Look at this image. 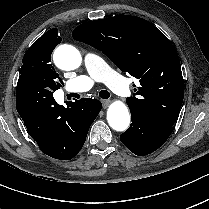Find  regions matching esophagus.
I'll return each mask as SVG.
<instances>
[{
  "mask_svg": "<svg viewBox=\"0 0 209 209\" xmlns=\"http://www.w3.org/2000/svg\"><path fill=\"white\" fill-rule=\"evenodd\" d=\"M102 103H103V107L107 108L108 105L111 103V101L110 100H103Z\"/></svg>",
  "mask_w": 209,
  "mask_h": 209,
  "instance_id": "34e87169",
  "label": "esophagus"
}]
</instances>
